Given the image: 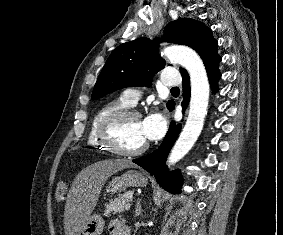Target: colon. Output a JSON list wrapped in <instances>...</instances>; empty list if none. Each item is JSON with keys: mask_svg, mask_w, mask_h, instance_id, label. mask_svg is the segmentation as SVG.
Instances as JSON below:
<instances>
[{"mask_svg": "<svg viewBox=\"0 0 283 235\" xmlns=\"http://www.w3.org/2000/svg\"><path fill=\"white\" fill-rule=\"evenodd\" d=\"M66 183L65 181H59L56 185V189H55V199L57 201H60L64 195H65V192H66Z\"/></svg>", "mask_w": 283, "mask_h": 235, "instance_id": "1", "label": "colon"}]
</instances>
